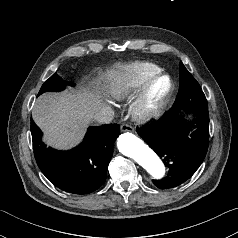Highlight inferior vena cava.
Masks as SVG:
<instances>
[{
	"mask_svg": "<svg viewBox=\"0 0 238 238\" xmlns=\"http://www.w3.org/2000/svg\"><path fill=\"white\" fill-rule=\"evenodd\" d=\"M93 119L99 124H108L111 123L114 119V111L110 107H105L93 116Z\"/></svg>",
	"mask_w": 238,
	"mask_h": 238,
	"instance_id": "1",
	"label": "inferior vena cava"
}]
</instances>
